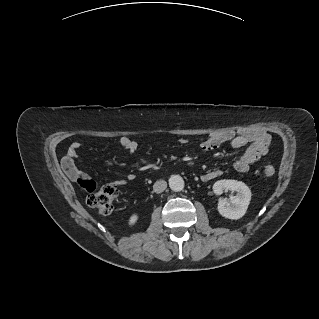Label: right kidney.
Segmentation results:
<instances>
[{"mask_svg": "<svg viewBox=\"0 0 319 319\" xmlns=\"http://www.w3.org/2000/svg\"><path fill=\"white\" fill-rule=\"evenodd\" d=\"M138 220V215L137 214H132L131 217L129 218V225H134Z\"/></svg>", "mask_w": 319, "mask_h": 319, "instance_id": "ca27d5eb", "label": "right kidney"}]
</instances>
